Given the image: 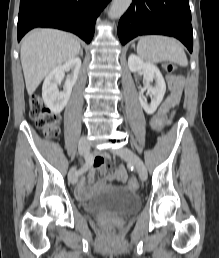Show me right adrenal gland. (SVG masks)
Wrapping results in <instances>:
<instances>
[{"mask_svg":"<svg viewBox=\"0 0 219 258\" xmlns=\"http://www.w3.org/2000/svg\"><path fill=\"white\" fill-rule=\"evenodd\" d=\"M80 56H83V49H80Z\"/></svg>","mask_w":219,"mask_h":258,"instance_id":"1","label":"right adrenal gland"}]
</instances>
